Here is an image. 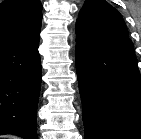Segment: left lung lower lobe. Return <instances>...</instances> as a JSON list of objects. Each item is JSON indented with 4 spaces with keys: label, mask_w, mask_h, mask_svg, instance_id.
Segmentation results:
<instances>
[{
    "label": "left lung lower lobe",
    "mask_w": 141,
    "mask_h": 139,
    "mask_svg": "<svg viewBox=\"0 0 141 139\" xmlns=\"http://www.w3.org/2000/svg\"><path fill=\"white\" fill-rule=\"evenodd\" d=\"M85 139H141V81L132 41L76 21Z\"/></svg>",
    "instance_id": "left-lung-lower-lobe-1"
}]
</instances>
